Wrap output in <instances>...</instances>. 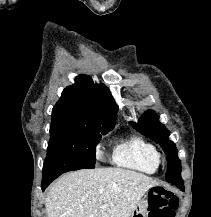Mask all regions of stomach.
<instances>
[{
	"instance_id": "stomach-1",
	"label": "stomach",
	"mask_w": 211,
	"mask_h": 217,
	"mask_svg": "<svg viewBox=\"0 0 211 217\" xmlns=\"http://www.w3.org/2000/svg\"><path fill=\"white\" fill-rule=\"evenodd\" d=\"M147 198H143L134 208L131 217H148Z\"/></svg>"
}]
</instances>
